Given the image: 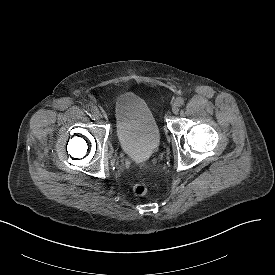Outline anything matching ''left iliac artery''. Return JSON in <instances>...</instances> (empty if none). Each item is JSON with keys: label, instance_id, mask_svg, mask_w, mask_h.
<instances>
[{"label": "left iliac artery", "instance_id": "1", "mask_svg": "<svg viewBox=\"0 0 275 275\" xmlns=\"http://www.w3.org/2000/svg\"><path fill=\"white\" fill-rule=\"evenodd\" d=\"M176 103L178 104V106H182L184 104V100L181 97L176 98Z\"/></svg>", "mask_w": 275, "mask_h": 275}]
</instances>
